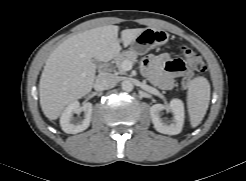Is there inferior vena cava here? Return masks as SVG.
Here are the masks:
<instances>
[{
  "label": "inferior vena cava",
  "instance_id": "obj_1",
  "mask_svg": "<svg viewBox=\"0 0 246 181\" xmlns=\"http://www.w3.org/2000/svg\"><path fill=\"white\" fill-rule=\"evenodd\" d=\"M116 85V78L109 73L99 74L96 78L94 89L96 91H103L113 88Z\"/></svg>",
  "mask_w": 246,
  "mask_h": 181
}]
</instances>
